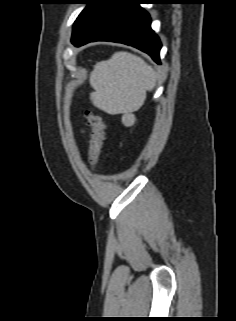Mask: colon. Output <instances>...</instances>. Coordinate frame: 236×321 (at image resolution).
Instances as JSON below:
<instances>
[{"label":"colon","instance_id":"1","mask_svg":"<svg viewBox=\"0 0 236 321\" xmlns=\"http://www.w3.org/2000/svg\"><path fill=\"white\" fill-rule=\"evenodd\" d=\"M85 118L87 124L92 130L89 150V163L92 168H96L103 146L105 126L102 117L98 114L86 111Z\"/></svg>","mask_w":236,"mask_h":321}]
</instances>
